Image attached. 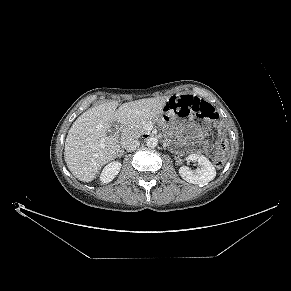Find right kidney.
Wrapping results in <instances>:
<instances>
[{
	"instance_id": "1",
	"label": "right kidney",
	"mask_w": 291,
	"mask_h": 291,
	"mask_svg": "<svg viewBox=\"0 0 291 291\" xmlns=\"http://www.w3.org/2000/svg\"><path fill=\"white\" fill-rule=\"evenodd\" d=\"M121 166H122L121 163L118 161H113L107 164L102 170L100 176L101 182L104 184L111 182L116 177V175H118Z\"/></svg>"
}]
</instances>
